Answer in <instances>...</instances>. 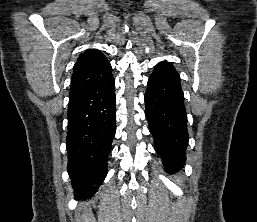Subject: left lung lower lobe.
<instances>
[{"label": "left lung lower lobe", "mask_w": 257, "mask_h": 222, "mask_svg": "<svg viewBox=\"0 0 257 222\" xmlns=\"http://www.w3.org/2000/svg\"><path fill=\"white\" fill-rule=\"evenodd\" d=\"M180 76L167 61L155 66L145 94L146 118L166 172L183 167L189 136Z\"/></svg>", "instance_id": "0a47b994"}]
</instances>
